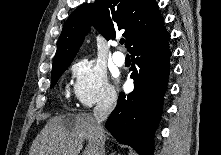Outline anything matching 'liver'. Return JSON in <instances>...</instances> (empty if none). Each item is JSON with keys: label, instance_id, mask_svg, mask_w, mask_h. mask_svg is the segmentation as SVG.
<instances>
[{"label": "liver", "instance_id": "liver-1", "mask_svg": "<svg viewBox=\"0 0 221 155\" xmlns=\"http://www.w3.org/2000/svg\"><path fill=\"white\" fill-rule=\"evenodd\" d=\"M104 132V140H105ZM98 155L99 135L95 118L86 113L65 114L49 119L32 143L29 155Z\"/></svg>", "mask_w": 221, "mask_h": 155}]
</instances>
